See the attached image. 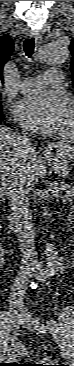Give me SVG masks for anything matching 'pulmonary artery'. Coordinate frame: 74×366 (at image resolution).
Here are the masks:
<instances>
[{
  "instance_id": "e3ab8cb5",
  "label": "pulmonary artery",
  "mask_w": 74,
  "mask_h": 366,
  "mask_svg": "<svg viewBox=\"0 0 74 366\" xmlns=\"http://www.w3.org/2000/svg\"><path fill=\"white\" fill-rule=\"evenodd\" d=\"M63 79V72L59 69H53L47 71L43 76L30 77L22 80L19 89L24 93L36 94L46 87H58Z\"/></svg>"
}]
</instances>
